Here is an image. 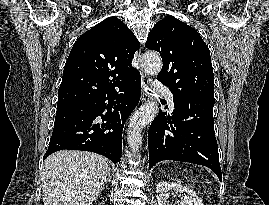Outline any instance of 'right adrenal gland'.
Instances as JSON below:
<instances>
[{
	"label": "right adrenal gland",
	"instance_id": "right-adrenal-gland-1",
	"mask_svg": "<svg viewBox=\"0 0 269 205\" xmlns=\"http://www.w3.org/2000/svg\"><path fill=\"white\" fill-rule=\"evenodd\" d=\"M110 181H111V172H110V170H109V172H108V177L106 178V180H105V182H104V185H103V187H102V190L105 188V185H106L107 183L110 184Z\"/></svg>",
	"mask_w": 269,
	"mask_h": 205
}]
</instances>
